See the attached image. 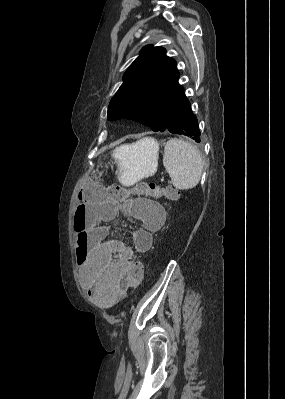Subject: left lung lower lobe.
Here are the masks:
<instances>
[{"label":"left lung lower lobe","instance_id":"1","mask_svg":"<svg viewBox=\"0 0 285 399\" xmlns=\"http://www.w3.org/2000/svg\"><path fill=\"white\" fill-rule=\"evenodd\" d=\"M164 131L190 136L195 142H200L198 121L184 93L172 111Z\"/></svg>","mask_w":285,"mask_h":399}]
</instances>
